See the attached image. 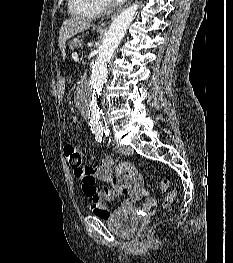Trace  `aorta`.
<instances>
[{
  "instance_id": "762f6f07",
  "label": "aorta",
  "mask_w": 233,
  "mask_h": 263,
  "mask_svg": "<svg viewBox=\"0 0 233 263\" xmlns=\"http://www.w3.org/2000/svg\"><path fill=\"white\" fill-rule=\"evenodd\" d=\"M137 3L121 12L110 24L104 43L99 50L89 80L78 92L77 103L81 113L91 126L107 128L104 108V87L108 76V64L137 14Z\"/></svg>"
}]
</instances>
